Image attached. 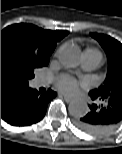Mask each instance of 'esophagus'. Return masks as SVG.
<instances>
[{
  "instance_id": "1",
  "label": "esophagus",
  "mask_w": 122,
  "mask_h": 154,
  "mask_svg": "<svg viewBox=\"0 0 122 154\" xmlns=\"http://www.w3.org/2000/svg\"><path fill=\"white\" fill-rule=\"evenodd\" d=\"M62 96H63L64 100H65L67 103L73 101V98H71L70 96H67V95H65V94H62Z\"/></svg>"
}]
</instances>
